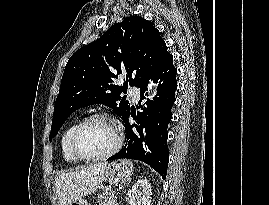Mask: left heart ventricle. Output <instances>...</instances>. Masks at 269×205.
Here are the masks:
<instances>
[{"label": "left heart ventricle", "instance_id": "left-heart-ventricle-1", "mask_svg": "<svg viewBox=\"0 0 269 205\" xmlns=\"http://www.w3.org/2000/svg\"><path fill=\"white\" fill-rule=\"evenodd\" d=\"M115 144V135L110 123L94 121L79 134L78 148L89 156L100 155L109 151Z\"/></svg>", "mask_w": 269, "mask_h": 205}]
</instances>
